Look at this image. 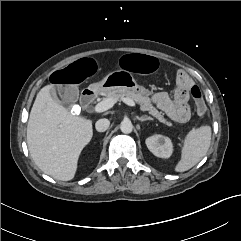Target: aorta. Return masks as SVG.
<instances>
[{
	"label": "aorta",
	"instance_id": "762f6f07",
	"mask_svg": "<svg viewBox=\"0 0 241 241\" xmlns=\"http://www.w3.org/2000/svg\"><path fill=\"white\" fill-rule=\"evenodd\" d=\"M120 130L124 134H129L133 131V125L130 120H123L120 124Z\"/></svg>",
	"mask_w": 241,
	"mask_h": 241
}]
</instances>
